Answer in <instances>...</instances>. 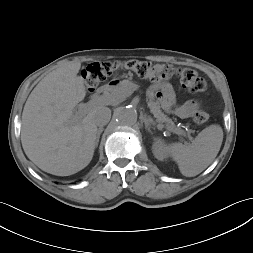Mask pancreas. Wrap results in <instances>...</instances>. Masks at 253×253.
<instances>
[{"instance_id": "pancreas-1", "label": "pancreas", "mask_w": 253, "mask_h": 253, "mask_svg": "<svg viewBox=\"0 0 253 253\" xmlns=\"http://www.w3.org/2000/svg\"><path fill=\"white\" fill-rule=\"evenodd\" d=\"M133 92L131 83L129 81H122L116 86H110L105 88V97L112 103H120L124 101ZM149 108L151 113L156 118L157 122L165 123V127L174 133L182 132L180 128H177L169 117H167L162 111L160 104L155 101L149 102Z\"/></svg>"}]
</instances>
